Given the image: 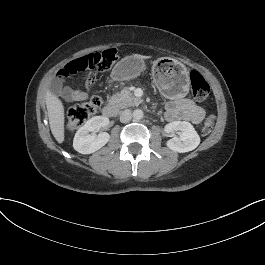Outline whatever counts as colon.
<instances>
[{
  "label": "colon",
  "mask_w": 265,
  "mask_h": 265,
  "mask_svg": "<svg viewBox=\"0 0 265 265\" xmlns=\"http://www.w3.org/2000/svg\"><path fill=\"white\" fill-rule=\"evenodd\" d=\"M116 60V51L114 49L105 50L99 53H90L76 60L69 62L62 67L57 73V79H65L68 76L87 70L94 69L100 72L109 70ZM190 84L194 98L198 101L205 100L210 93L209 83L203 76L193 70L190 72ZM102 103L99 95H92L87 101L74 105L70 108L67 118V128L75 130L81 127L88 119H90L98 111ZM215 116L211 115L206 118L202 133L207 135L212 132L215 126Z\"/></svg>",
  "instance_id": "obj_1"
}]
</instances>
